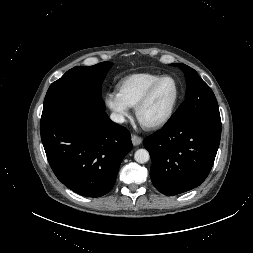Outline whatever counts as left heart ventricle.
Here are the masks:
<instances>
[{
  "mask_svg": "<svg viewBox=\"0 0 253 253\" xmlns=\"http://www.w3.org/2000/svg\"><path fill=\"white\" fill-rule=\"evenodd\" d=\"M175 94V82L172 79L162 81L142 111L141 120L144 123H153L161 119L167 113Z\"/></svg>",
  "mask_w": 253,
  "mask_h": 253,
  "instance_id": "left-heart-ventricle-1",
  "label": "left heart ventricle"
}]
</instances>
